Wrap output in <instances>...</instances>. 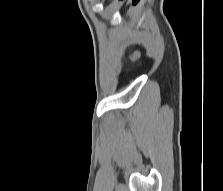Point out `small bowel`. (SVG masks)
I'll return each instance as SVG.
<instances>
[{
  "instance_id": "1",
  "label": "small bowel",
  "mask_w": 223,
  "mask_h": 191,
  "mask_svg": "<svg viewBox=\"0 0 223 191\" xmlns=\"http://www.w3.org/2000/svg\"><path fill=\"white\" fill-rule=\"evenodd\" d=\"M138 57V55L137 54H133V58H137Z\"/></svg>"
}]
</instances>
